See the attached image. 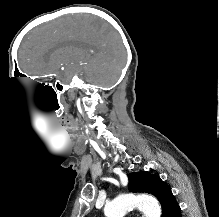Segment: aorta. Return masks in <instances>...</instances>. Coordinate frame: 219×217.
<instances>
[{"instance_id":"obj_1","label":"aorta","mask_w":219,"mask_h":217,"mask_svg":"<svg viewBox=\"0 0 219 217\" xmlns=\"http://www.w3.org/2000/svg\"><path fill=\"white\" fill-rule=\"evenodd\" d=\"M141 210L145 217H160L161 207L158 201L149 196H123L107 203L104 208L106 217H124L132 208Z\"/></svg>"}]
</instances>
